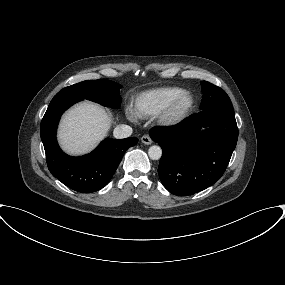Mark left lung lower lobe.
Returning a JSON list of instances; mask_svg holds the SVG:
<instances>
[{"label": "left lung lower lobe", "mask_w": 285, "mask_h": 285, "mask_svg": "<svg viewBox=\"0 0 285 285\" xmlns=\"http://www.w3.org/2000/svg\"><path fill=\"white\" fill-rule=\"evenodd\" d=\"M150 136L162 148L158 168L162 184L174 195L186 196L221 178L236 147L238 128L234 110L215 107L175 126L152 128Z\"/></svg>", "instance_id": "0a47b994"}]
</instances>
